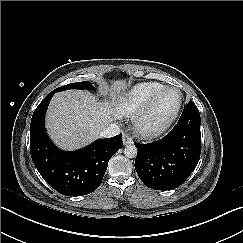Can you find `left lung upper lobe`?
Segmentation results:
<instances>
[{"label":"left lung upper lobe","instance_id":"left-lung-upper-lobe-1","mask_svg":"<svg viewBox=\"0 0 243 243\" xmlns=\"http://www.w3.org/2000/svg\"><path fill=\"white\" fill-rule=\"evenodd\" d=\"M186 106H195V107H196L195 103H194V102H192V101H189V103H188V104H186Z\"/></svg>","mask_w":243,"mask_h":243}]
</instances>
